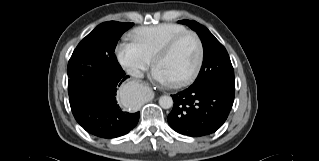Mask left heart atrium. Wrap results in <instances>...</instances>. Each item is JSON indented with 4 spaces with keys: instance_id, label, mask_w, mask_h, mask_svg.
I'll return each mask as SVG.
<instances>
[{
    "instance_id": "left-heart-atrium-1",
    "label": "left heart atrium",
    "mask_w": 319,
    "mask_h": 161,
    "mask_svg": "<svg viewBox=\"0 0 319 161\" xmlns=\"http://www.w3.org/2000/svg\"><path fill=\"white\" fill-rule=\"evenodd\" d=\"M153 78L160 83H168L169 82L166 75L157 67L153 70Z\"/></svg>"
}]
</instances>
